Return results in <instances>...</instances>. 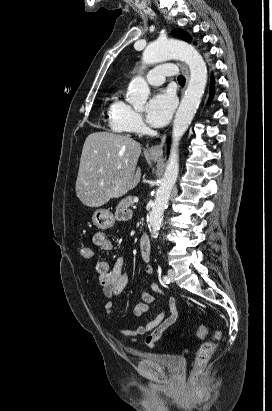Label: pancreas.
Returning a JSON list of instances; mask_svg holds the SVG:
<instances>
[{
  "label": "pancreas",
  "instance_id": "pancreas-1",
  "mask_svg": "<svg viewBox=\"0 0 272 411\" xmlns=\"http://www.w3.org/2000/svg\"><path fill=\"white\" fill-rule=\"evenodd\" d=\"M133 199V196H127L124 199H122L116 207V213L118 214L120 212L127 211L128 208L133 205Z\"/></svg>",
  "mask_w": 272,
  "mask_h": 411
}]
</instances>
